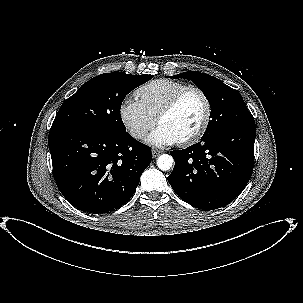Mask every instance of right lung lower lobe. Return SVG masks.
Masks as SVG:
<instances>
[{"instance_id":"98d812e1","label":"right lung lower lobe","mask_w":303,"mask_h":303,"mask_svg":"<svg viewBox=\"0 0 303 303\" xmlns=\"http://www.w3.org/2000/svg\"><path fill=\"white\" fill-rule=\"evenodd\" d=\"M48 144L60 192L78 209L94 214L128 202L152 159L151 148L127 132L62 130L50 132Z\"/></svg>"}]
</instances>
